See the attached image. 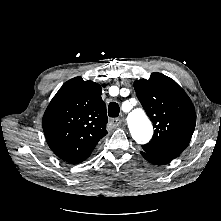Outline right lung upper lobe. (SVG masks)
<instances>
[{"label":"right lung upper lobe","instance_id":"obj_1","mask_svg":"<svg viewBox=\"0 0 221 221\" xmlns=\"http://www.w3.org/2000/svg\"><path fill=\"white\" fill-rule=\"evenodd\" d=\"M101 85L75 77L59 89L43 116L49 147L64 161L77 164L89 157L107 134Z\"/></svg>","mask_w":221,"mask_h":221}]
</instances>
